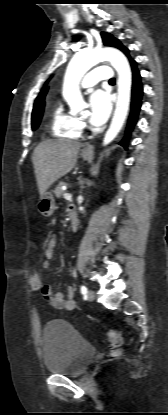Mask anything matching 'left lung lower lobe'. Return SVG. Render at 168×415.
Here are the masks:
<instances>
[{
    "instance_id": "left-lung-lower-lobe-1",
    "label": "left lung lower lobe",
    "mask_w": 168,
    "mask_h": 415,
    "mask_svg": "<svg viewBox=\"0 0 168 415\" xmlns=\"http://www.w3.org/2000/svg\"><path fill=\"white\" fill-rule=\"evenodd\" d=\"M132 74H133V83H132V97H131V112L128 120V126H127V134H129L138 117V113L141 108V99L143 95V87L141 84V76L137 69V62L133 60L132 58H129ZM127 141L128 137L126 136L121 142L120 145L125 147L127 149Z\"/></svg>"
}]
</instances>
